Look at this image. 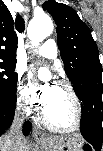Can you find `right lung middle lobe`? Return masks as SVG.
I'll use <instances>...</instances> for the list:
<instances>
[{
	"mask_svg": "<svg viewBox=\"0 0 103 151\" xmlns=\"http://www.w3.org/2000/svg\"><path fill=\"white\" fill-rule=\"evenodd\" d=\"M16 63L0 62V101L10 104L16 103L17 73L14 71Z\"/></svg>",
	"mask_w": 103,
	"mask_h": 151,
	"instance_id": "right-lung-middle-lobe-1",
	"label": "right lung middle lobe"
}]
</instances>
